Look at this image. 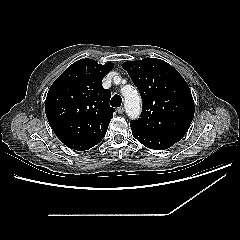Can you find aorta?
I'll use <instances>...</instances> for the list:
<instances>
[{
	"label": "aorta",
	"instance_id": "762f6f07",
	"mask_svg": "<svg viewBox=\"0 0 240 240\" xmlns=\"http://www.w3.org/2000/svg\"><path fill=\"white\" fill-rule=\"evenodd\" d=\"M122 95L124 97L127 115L132 119L137 118L141 112V99L138 92L133 86L128 85L122 89Z\"/></svg>",
	"mask_w": 240,
	"mask_h": 240
}]
</instances>
